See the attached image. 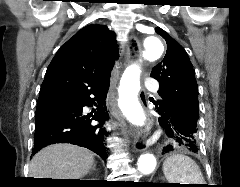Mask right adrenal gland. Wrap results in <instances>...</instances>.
<instances>
[{
    "label": "right adrenal gland",
    "instance_id": "2a0ac1e0",
    "mask_svg": "<svg viewBox=\"0 0 240 187\" xmlns=\"http://www.w3.org/2000/svg\"><path fill=\"white\" fill-rule=\"evenodd\" d=\"M93 170H96V169H95V166L93 167Z\"/></svg>",
    "mask_w": 240,
    "mask_h": 187
}]
</instances>
